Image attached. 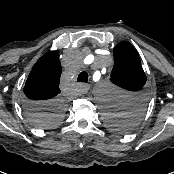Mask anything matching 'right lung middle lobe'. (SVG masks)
Instances as JSON below:
<instances>
[{
	"label": "right lung middle lobe",
	"instance_id": "obj_1",
	"mask_svg": "<svg viewBox=\"0 0 174 174\" xmlns=\"http://www.w3.org/2000/svg\"><path fill=\"white\" fill-rule=\"evenodd\" d=\"M26 112L36 127H52L64 117L65 106L61 99L43 105L27 104Z\"/></svg>",
	"mask_w": 174,
	"mask_h": 174
}]
</instances>
